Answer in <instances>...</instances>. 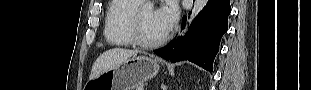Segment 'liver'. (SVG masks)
<instances>
[{
	"label": "liver",
	"mask_w": 311,
	"mask_h": 90,
	"mask_svg": "<svg viewBox=\"0 0 311 90\" xmlns=\"http://www.w3.org/2000/svg\"><path fill=\"white\" fill-rule=\"evenodd\" d=\"M138 50H129L125 48H113L105 51L94 62L89 79H95L103 72L116 68L129 58L135 56Z\"/></svg>",
	"instance_id": "obj_1"
}]
</instances>
